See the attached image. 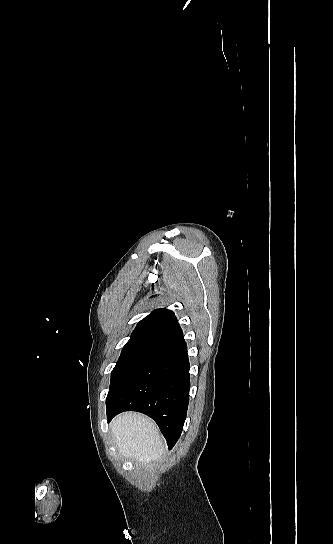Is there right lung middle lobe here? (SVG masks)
Listing matches in <instances>:
<instances>
[{
    "instance_id": "right-lung-middle-lobe-1",
    "label": "right lung middle lobe",
    "mask_w": 333,
    "mask_h": 544,
    "mask_svg": "<svg viewBox=\"0 0 333 544\" xmlns=\"http://www.w3.org/2000/svg\"><path fill=\"white\" fill-rule=\"evenodd\" d=\"M151 349L134 347L122 350L119 360L112 370L110 389L106 402L123 387L137 367L147 358Z\"/></svg>"
}]
</instances>
